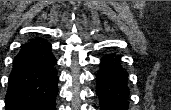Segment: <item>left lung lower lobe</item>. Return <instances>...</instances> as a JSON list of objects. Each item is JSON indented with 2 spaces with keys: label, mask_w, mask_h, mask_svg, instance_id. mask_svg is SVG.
<instances>
[{
  "label": "left lung lower lobe",
  "mask_w": 171,
  "mask_h": 110,
  "mask_svg": "<svg viewBox=\"0 0 171 110\" xmlns=\"http://www.w3.org/2000/svg\"><path fill=\"white\" fill-rule=\"evenodd\" d=\"M120 56L113 54L102 58L97 73L96 92L101 110H128L127 73L120 65Z\"/></svg>",
  "instance_id": "1"
}]
</instances>
